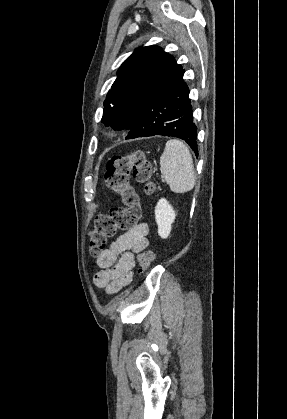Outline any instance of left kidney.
<instances>
[{
	"label": "left kidney",
	"instance_id": "left-kidney-1",
	"mask_svg": "<svg viewBox=\"0 0 287 419\" xmlns=\"http://www.w3.org/2000/svg\"><path fill=\"white\" fill-rule=\"evenodd\" d=\"M176 217L175 211L169 202L161 198L155 207V220L158 225V234L165 239L170 235L172 223Z\"/></svg>",
	"mask_w": 287,
	"mask_h": 419
}]
</instances>
